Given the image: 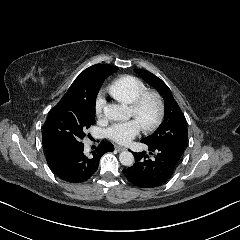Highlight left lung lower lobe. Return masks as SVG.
<instances>
[{
    "mask_svg": "<svg viewBox=\"0 0 240 240\" xmlns=\"http://www.w3.org/2000/svg\"><path fill=\"white\" fill-rule=\"evenodd\" d=\"M148 147L153 158L145 155V151L134 153L135 164L123 170L127 180L139 188H155L166 183L181 158V154L167 148Z\"/></svg>",
    "mask_w": 240,
    "mask_h": 240,
    "instance_id": "left-lung-lower-lobe-1",
    "label": "left lung lower lobe"
}]
</instances>
